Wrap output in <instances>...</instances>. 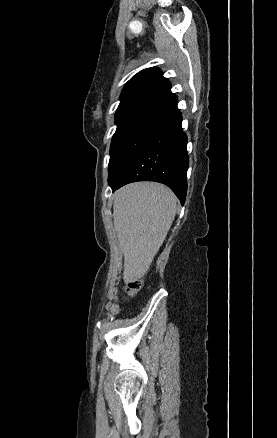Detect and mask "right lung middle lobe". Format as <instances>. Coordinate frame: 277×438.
<instances>
[{"label": "right lung middle lobe", "instance_id": "dd1d6c3e", "mask_svg": "<svg viewBox=\"0 0 277 438\" xmlns=\"http://www.w3.org/2000/svg\"><path fill=\"white\" fill-rule=\"evenodd\" d=\"M168 111L116 117L110 148L109 183L118 180L159 128Z\"/></svg>", "mask_w": 277, "mask_h": 438}]
</instances>
